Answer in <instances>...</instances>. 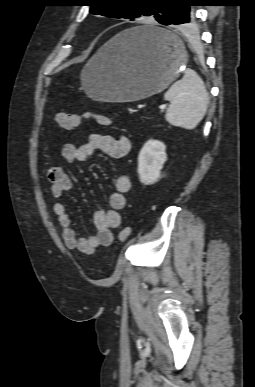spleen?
Here are the masks:
<instances>
[{"label": "spleen", "instance_id": "obj_1", "mask_svg": "<svg viewBox=\"0 0 255 387\" xmlns=\"http://www.w3.org/2000/svg\"><path fill=\"white\" fill-rule=\"evenodd\" d=\"M170 101L165 118L173 126L194 129L206 114L209 95L202 79L191 69H186L181 80L165 93Z\"/></svg>", "mask_w": 255, "mask_h": 387}]
</instances>
